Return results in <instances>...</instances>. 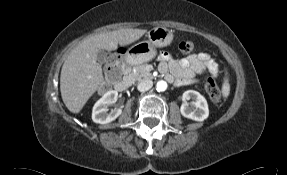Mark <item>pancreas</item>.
Listing matches in <instances>:
<instances>
[{"label":"pancreas","mask_w":287,"mask_h":175,"mask_svg":"<svg viewBox=\"0 0 287 175\" xmlns=\"http://www.w3.org/2000/svg\"><path fill=\"white\" fill-rule=\"evenodd\" d=\"M129 79L132 82L149 79L152 77L151 73L146 70V64L135 66L133 71L129 74Z\"/></svg>","instance_id":"pancreas-1"}]
</instances>
